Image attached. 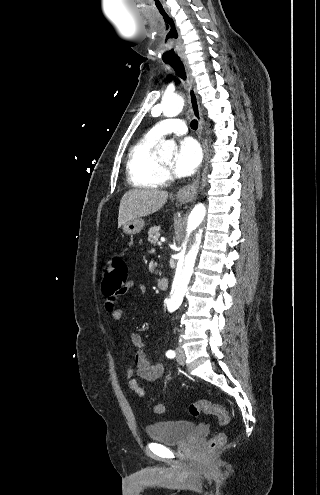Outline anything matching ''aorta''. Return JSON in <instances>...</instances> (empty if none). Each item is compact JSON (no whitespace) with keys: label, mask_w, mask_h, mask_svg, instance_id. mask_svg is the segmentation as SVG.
Wrapping results in <instances>:
<instances>
[{"label":"aorta","mask_w":320,"mask_h":495,"mask_svg":"<svg viewBox=\"0 0 320 495\" xmlns=\"http://www.w3.org/2000/svg\"><path fill=\"white\" fill-rule=\"evenodd\" d=\"M184 107V99L179 96H166L160 105L151 110L153 115L163 113L165 117L178 116ZM176 145L170 141H164L158 146L160 156H172ZM215 212L214 205L210 202L198 203L190 214L177 228L178 259L175 277L172 284L171 296L167 302L170 312L178 309L187 291L196 259L200 253L201 243L211 227V219ZM199 235L201 239L199 240Z\"/></svg>","instance_id":"obj_1"}]
</instances>
